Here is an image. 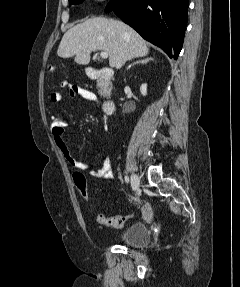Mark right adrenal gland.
I'll list each match as a JSON object with an SVG mask.
<instances>
[{
	"label": "right adrenal gland",
	"mask_w": 240,
	"mask_h": 287,
	"mask_svg": "<svg viewBox=\"0 0 240 287\" xmlns=\"http://www.w3.org/2000/svg\"><path fill=\"white\" fill-rule=\"evenodd\" d=\"M153 58H147V59H143V60H138L136 62H133L132 64H130L128 67H127V70L130 69L133 65L135 64H139V63H142V64H146L147 62L149 61H152Z\"/></svg>",
	"instance_id": "right-adrenal-gland-1"
}]
</instances>
